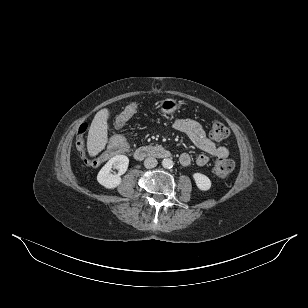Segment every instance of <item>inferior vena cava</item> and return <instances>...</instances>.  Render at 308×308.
I'll return each mask as SVG.
<instances>
[{"label":"inferior vena cava","mask_w":308,"mask_h":308,"mask_svg":"<svg viewBox=\"0 0 308 308\" xmlns=\"http://www.w3.org/2000/svg\"><path fill=\"white\" fill-rule=\"evenodd\" d=\"M158 164L157 160L154 157H148L144 160V166L147 169L154 168Z\"/></svg>","instance_id":"1"}]
</instances>
